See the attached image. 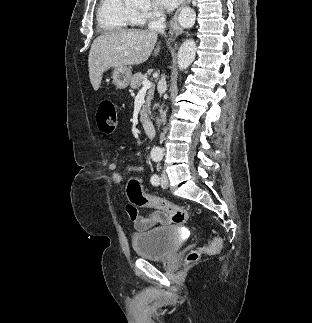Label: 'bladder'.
<instances>
[{"label":"bladder","instance_id":"31cf9c89","mask_svg":"<svg viewBox=\"0 0 312 323\" xmlns=\"http://www.w3.org/2000/svg\"><path fill=\"white\" fill-rule=\"evenodd\" d=\"M179 239L174 227L162 226L134 235L133 246L138 256L149 260L166 259L177 252Z\"/></svg>","mask_w":312,"mask_h":323}]
</instances>
